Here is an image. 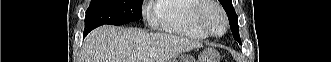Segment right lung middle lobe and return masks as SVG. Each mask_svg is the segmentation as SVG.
Returning <instances> with one entry per match:
<instances>
[{"mask_svg": "<svg viewBox=\"0 0 331 62\" xmlns=\"http://www.w3.org/2000/svg\"><path fill=\"white\" fill-rule=\"evenodd\" d=\"M141 0H91L84 35L103 24L122 25L141 18Z\"/></svg>", "mask_w": 331, "mask_h": 62, "instance_id": "dd1d6c3e", "label": "right lung middle lobe"}]
</instances>
